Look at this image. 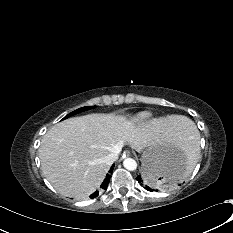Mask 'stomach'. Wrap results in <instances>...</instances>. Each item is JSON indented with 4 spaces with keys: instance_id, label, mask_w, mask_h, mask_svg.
Wrapping results in <instances>:
<instances>
[{
    "instance_id": "1",
    "label": "stomach",
    "mask_w": 233,
    "mask_h": 233,
    "mask_svg": "<svg viewBox=\"0 0 233 233\" xmlns=\"http://www.w3.org/2000/svg\"><path fill=\"white\" fill-rule=\"evenodd\" d=\"M141 153L143 176L152 185L168 186L184 174L186 162L175 148L161 147L154 142Z\"/></svg>"
}]
</instances>
